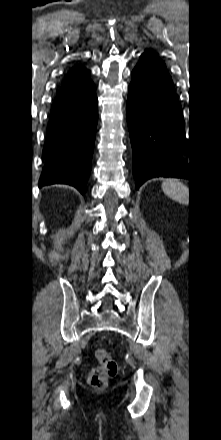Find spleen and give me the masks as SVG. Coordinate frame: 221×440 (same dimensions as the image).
I'll return each instance as SVG.
<instances>
[{
    "mask_svg": "<svg viewBox=\"0 0 221 440\" xmlns=\"http://www.w3.org/2000/svg\"><path fill=\"white\" fill-rule=\"evenodd\" d=\"M163 192L171 199L186 204L189 198V189L177 179L168 178L162 183Z\"/></svg>",
    "mask_w": 221,
    "mask_h": 440,
    "instance_id": "3e777b00",
    "label": "spleen"
}]
</instances>
